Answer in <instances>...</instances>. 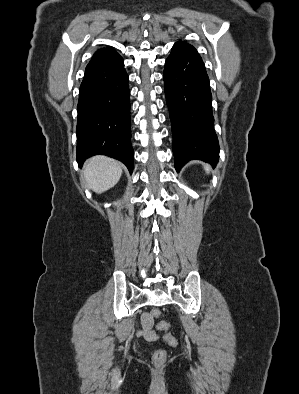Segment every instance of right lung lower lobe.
Returning a JSON list of instances; mask_svg holds the SVG:
<instances>
[{"instance_id": "right-lung-lower-lobe-1", "label": "right lung lower lobe", "mask_w": 299, "mask_h": 394, "mask_svg": "<svg viewBox=\"0 0 299 394\" xmlns=\"http://www.w3.org/2000/svg\"><path fill=\"white\" fill-rule=\"evenodd\" d=\"M128 75L119 54L93 59L80 86L77 121V162L107 155L133 170Z\"/></svg>"}]
</instances>
